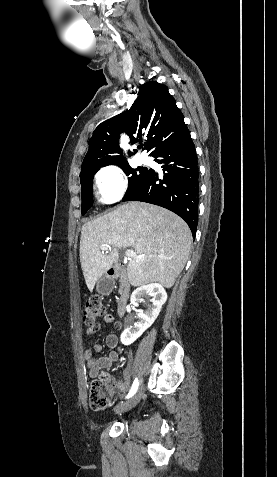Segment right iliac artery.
<instances>
[{
    "mask_svg": "<svg viewBox=\"0 0 277 477\" xmlns=\"http://www.w3.org/2000/svg\"><path fill=\"white\" fill-rule=\"evenodd\" d=\"M138 385H139V381H138V379L136 378V379L134 380V382H133L132 388H131V390H130L128 396H127V398H130L131 396H133V395L136 393L137 388H138Z\"/></svg>",
    "mask_w": 277,
    "mask_h": 477,
    "instance_id": "obj_1",
    "label": "right iliac artery"
}]
</instances>
